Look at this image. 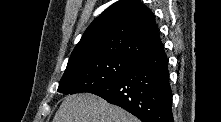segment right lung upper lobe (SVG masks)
<instances>
[{
	"label": "right lung upper lobe",
	"instance_id": "right-lung-upper-lobe-1",
	"mask_svg": "<svg viewBox=\"0 0 221 122\" xmlns=\"http://www.w3.org/2000/svg\"><path fill=\"white\" fill-rule=\"evenodd\" d=\"M160 42L151 10L140 0H119L86 29L67 68L104 56L136 59Z\"/></svg>",
	"mask_w": 221,
	"mask_h": 122
}]
</instances>
